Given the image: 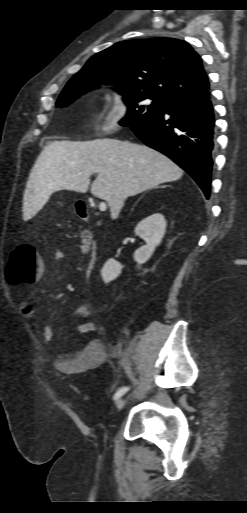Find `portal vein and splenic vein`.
Returning <instances> with one entry per match:
<instances>
[{"mask_svg":"<svg viewBox=\"0 0 247 513\" xmlns=\"http://www.w3.org/2000/svg\"><path fill=\"white\" fill-rule=\"evenodd\" d=\"M106 209H107L106 203L105 202H101L99 204V210L100 211H105Z\"/></svg>","mask_w":247,"mask_h":513,"instance_id":"18ae733b","label":"portal vein and splenic vein"}]
</instances>
